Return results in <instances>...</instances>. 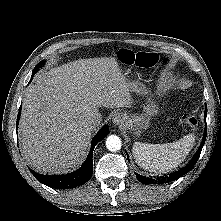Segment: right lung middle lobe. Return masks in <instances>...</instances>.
<instances>
[{
	"mask_svg": "<svg viewBox=\"0 0 221 221\" xmlns=\"http://www.w3.org/2000/svg\"><path fill=\"white\" fill-rule=\"evenodd\" d=\"M42 64H44V61L40 62L38 65H36V68H35V70L33 72L35 73L38 70V68L41 67Z\"/></svg>",
	"mask_w": 221,
	"mask_h": 221,
	"instance_id": "obj_1",
	"label": "right lung middle lobe"
}]
</instances>
